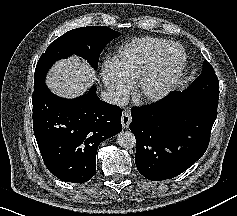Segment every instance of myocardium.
<instances>
[{
  "mask_svg": "<svg viewBox=\"0 0 237 216\" xmlns=\"http://www.w3.org/2000/svg\"><path fill=\"white\" fill-rule=\"evenodd\" d=\"M176 48L178 49L182 57V62L177 75L171 82L166 83L165 85L158 88L156 91L147 92L145 90V82L147 78L152 74L153 70L155 69L156 65L160 60V57L162 56V54L170 53ZM186 61H187V53L179 43L173 41L171 44H166L164 47H161L157 51L154 61L149 65V67L144 69L138 76L137 81L133 88L132 93L133 98L140 100L141 102L140 106L145 107L146 105L157 102L163 99L165 96L172 93L178 87V85L182 80V76L184 74V70L186 67Z\"/></svg>",
  "mask_w": 237,
  "mask_h": 216,
  "instance_id": "f54148a6",
  "label": "myocardium"
}]
</instances>
